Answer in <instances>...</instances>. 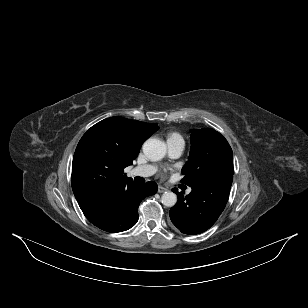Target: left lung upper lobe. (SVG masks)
<instances>
[{
	"mask_svg": "<svg viewBox=\"0 0 308 308\" xmlns=\"http://www.w3.org/2000/svg\"><path fill=\"white\" fill-rule=\"evenodd\" d=\"M191 151L182 169V182L194 186L202 181L223 175L234 174L232 149L222 134L213 129H193Z\"/></svg>",
	"mask_w": 308,
	"mask_h": 308,
	"instance_id": "obj_1",
	"label": "left lung upper lobe"
}]
</instances>
